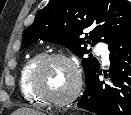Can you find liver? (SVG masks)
Masks as SVG:
<instances>
[{"mask_svg": "<svg viewBox=\"0 0 131 115\" xmlns=\"http://www.w3.org/2000/svg\"><path fill=\"white\" fill-rule=\"evenodd\" d=\"M12 115H44L38 111L29 108H21L15 111Z\"/></svg>", "mask_w": 131, "mask_h": 115, "instance_id": "1", "label": "liver"}]
</instances>
